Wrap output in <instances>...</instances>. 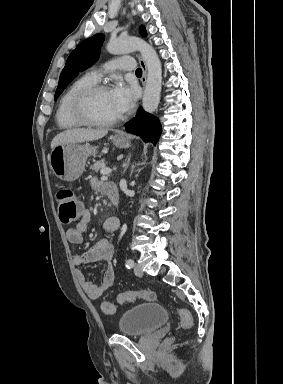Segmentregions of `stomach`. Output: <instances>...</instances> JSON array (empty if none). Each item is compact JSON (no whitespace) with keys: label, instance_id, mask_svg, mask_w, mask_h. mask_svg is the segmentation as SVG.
I'll return each mask as SVG.
<instances>
[{"label":"stomach","instance_id":"1","mask_svg":"<svg viewBox=\"0 0 283 384\" xmlns=\"http://www.w3.org/2000/svg\"><path fill=\"white\" fill-rule=\"evenodd\" d=\"M114 146L117 148H130L129 138L125 136H114ZM97 154L96 148L90 144H59L52 148L50 154V168L60 180L65 182H74L82 176L86 160L89 156Z\"/></svg>","mask_w":283,"mask_h":384}]
</instances>
